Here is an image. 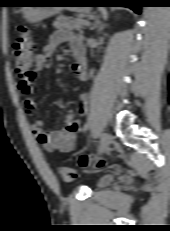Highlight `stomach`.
I'll return each instance as SVG.
<instances>
[{
  "label": "stomach",
  "instance_id": "1",
  "mask_svg": "<svg viewBox=\"0 0 170 231\" xmlns=\"http://www.w3.org/2000/svg\"><path fill=\"white\" fill-rule=\"evenodd\" d=\"M61 1H53V0H30L25 3H36V4H53L59 3ZM64 7H22V12L24 17L32 23L41 21L43 19H47L59 12H61ZM70 11L76 12H88L89 7H67Z\"/></svg>",
  "mask_w": 170,
  "mask_h": 231
}]
</instances>
